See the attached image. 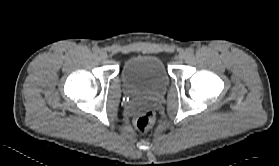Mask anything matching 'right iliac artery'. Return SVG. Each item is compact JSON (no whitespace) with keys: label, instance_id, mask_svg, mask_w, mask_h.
I'll list each match as a JSON object with an SVG mask.
<instances>
[{"label":"right iliac artery","instance_id":"obj_1","mask_svg":"<svg viewBox=\"0 0 279 166\" xmlns=\"http://www.w3.org/2000/svg\"><path fill=\"white\" fill-rule=\"evenodd\" d=\"M92 50H93L94 53H98L100 51V49L96 46L93 47Z\"/></svg>","mask_w":279,"mask_h":166}]
</instances>
